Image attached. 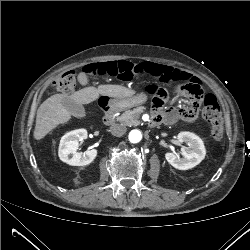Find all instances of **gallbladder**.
<instances>
[{"label":"gallbladder","instance_id":"gallbladder-1","mask_svg":"<svg viewBox=\"0 0 250 250\" xmlns=\"http://www.w3.org/2000/svg\"><path fill=\"white\" fill-rule=\"evenodd\" d=\"M63 107L73 116L77 118H83L86 116L85 109L82 104L76 102L75 100L66 97L61 101Z\"/></svg>","mask_w":250,"mask_h":250}]
</instances>
